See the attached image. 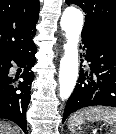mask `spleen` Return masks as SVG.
I'll use <instances>...</instances> for the list:
<instances>
[{
    "label": "spleen",
    "instance_id": "1",
    "mask_svg": "<svg viewBox=\"0 0 116 134\" xmlns=\"http://www.w3.org/2000/svg\"><path fill=\"white\" fill-rule=\"evenodd\" d=\"M85 120H102L109 125L116 126V109L108 107H91L80 110L70 117L68 120V128L74 133L75 128L83 124Z\"/></svg>",
    "mask_w": 116,
    "mask_h": 134
}]
</instances>
